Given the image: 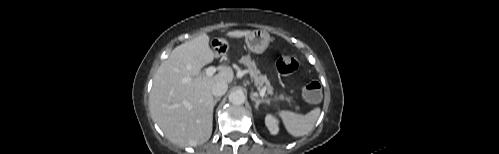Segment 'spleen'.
I'll list each match as a JSON object with an SVG mask.
<instances>
[{
  "instance_id": "obj_1",
  "label": "spleen",
  "mask_w": 499,
  "mask_h": 154,
  "mask_svg": "<svg viewBox=\"0 0 499 154\" xmlns=\"http://www.w3.org/2000/svg\"><path fill=\"white\" fill-rule=\"evenodd\" d=\"M278 114L282 118L288 133L294 137H301L308 134L313 129L320 115V108H314L306 115L284 110L279 111Z\"/></svg>"
}]
</instances>
